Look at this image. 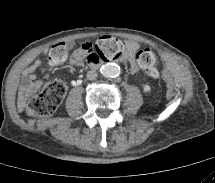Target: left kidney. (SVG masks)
Instances as JSON below:
<instances>
[{
	"mask_svg": "<svg viewBox=\"0 0 215 183\" xmlns=\"http://www.w3.org/2000/svg\"><path fill=\"white\" fill-rule=\"evenodd\" d=\"M143 90H144V92H150L151 87L148 84H145V85H143Z\"/></svg>",
	"mask_w": 215,
	"mask_h": 183,
	"instance_id": "1",
	"label": "left kidney"
}]
</instances>
